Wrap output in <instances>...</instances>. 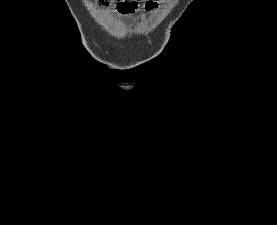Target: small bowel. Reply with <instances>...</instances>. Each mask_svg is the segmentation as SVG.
I'll return each instance as SVG.
<instances>
[{"instance_id":"small-bowel-1","label":"small bowel","mask_w":277,"mask_h":225,"mask_svg":"<svg viewBox=\"0 0 277 225\" xmlns=\"http://www.w3.org/2000/svg\"><path fill=\"white\" fill-rule=\"evenodd\" d=\"M146 6H148V9H154V8H156V4L155 3H153V2H150L148 5H146Z\"/></svg>"}]
</instances>
